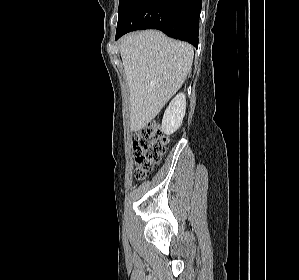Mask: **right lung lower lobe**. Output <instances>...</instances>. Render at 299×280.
Listing matches in <instances>:
<instances>
[{
	"label": "right lung lower lobe",
	"instance_id": "1",
	"mask_svg": "<svg viewBox=\"0 0 299 280\" xmlns=\"http://www.w3.org/2000/svg\"><path fill=\"white\" fill-rule=\"evenodd\" d=\"M201 6L202 0H124L115 39L134 30L157 29L197 47Z\"/></svg>",
	"mask_w": 299,
	"mask_h": 280
}]
</instances>
